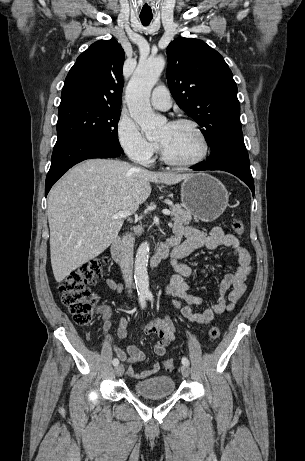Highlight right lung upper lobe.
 Listing matches in <instances>:
<instances>
[{
    "instance_id": "right-lung-upper-lobe-1",
    "label": "right lung upper lobe",
    "mask_w": 305,
    "mask_h": 461,
    "mask_svg": "<svg viewBox=\"0 0 305 461\" xmlns=\"http://www.w3.org/2000/svg\"><path fill=\"white\" fill-rule=\"evenodd\" d=\"M124 59V50L114 39L92 44L70 69L59 108L80 103L120 108Z\"/></svg>"
}]
</instances>
